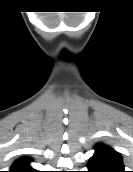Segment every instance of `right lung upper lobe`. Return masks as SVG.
Masks as SVG:
<instances>
[{
	"label": "right lung upper lobe",
	"instance_id": "right-lung-upper-lobe-1",
	"mask_svg": "<svg viewBox=\"0 0 133 172\" xmlns=\"http://www.w3.org/2000/svg\"><path fill=\"white\" fill-rule=\"evenodd\" d=\"M31 161L28 157H22L12 164L9 172H37L29 166Z\"/></svg>",
	"mask_w": 133,
	"mask_h": 172
}]
</instances>
